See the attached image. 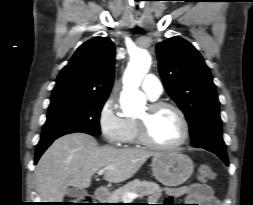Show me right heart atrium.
<instances>
[{"label":"right heart atrium","instance_id":"1","mask_svg":"<svg viewBox=\"0 0 253 205\" xmlns=\"http://www.w3.org/2000/svg\"><path fill=\"white\" fill-rule=\"evenodd\" d=\"M100 132L107 143L119 146L126 140L128 133V119L120 114L116 101L108 98L102 104L98 113Z\"/></svg>","mask_w":253,"mask_h":205}]
</instances>
